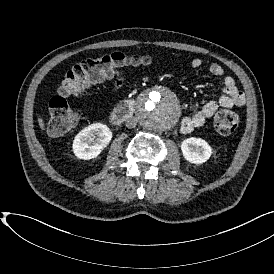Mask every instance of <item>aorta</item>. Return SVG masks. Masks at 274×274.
Instances as JSON below:
<instances>
[{"label":"aorta","instance_id":"762f6f07","mask_svg":"<svg viewBox=\"0 0 274 274\" xmlns=\"http://www.w3.org/2000/svg\"><path fill=\"white\" fill-rule=\"evenodd\" d=\"M137 120L153 131L173 127L180 117L176 96L168 89H155L142 97L136 107Z\"/></svg>","mask_w":274,"mask_h":274}]
</instances>
